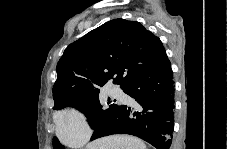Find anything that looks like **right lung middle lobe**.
Returning <instances> with one entry per match:
<instances>
[{
	"label": "right lung middle lobe",
	"mask_w": 227,
	"mask_h": 149,
	"mask_svg": "<svg viewBox=\"0 0 227 149\" xmlns=\"http://www.w3.org/2000/svg\"><path fill=\"white\" fill-rule=\"evenodd\" d=\"M99 93L100 88L95 89L82 97L67 100L60 106L54 107V109H62L67 106L76 107L87 116L90 126L95 129L114 115L120 107L114 103L116 101L114 100L108 102L110 105L107 110H103L99 101ZM53 147L54 149H64L56 137L53 139Z\"/></svg>",
	"instance_id": "obj_1"
}]
</instances>
